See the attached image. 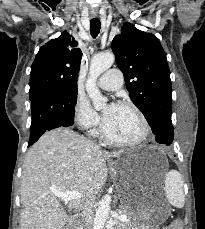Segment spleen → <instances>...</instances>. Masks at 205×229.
Listing matches in <instances>:
<instances>
[{
  "label": "spleen",
  "mask_w": 205,
  "mask_h": 229,
  "mask_svg": "<svg viewBox=\"0 0 205 229\" xmlns=\"http://www.w3.org/2000/svg\"><path fill=\"white\" fill-rule=\"evenodd\" d=\"M183 178L176 170H170L165 176L164 189L169 203L176 208H183L185 203Z\"/></svg>",
  "instance_id": "3e777b00"
}]
</instances>
